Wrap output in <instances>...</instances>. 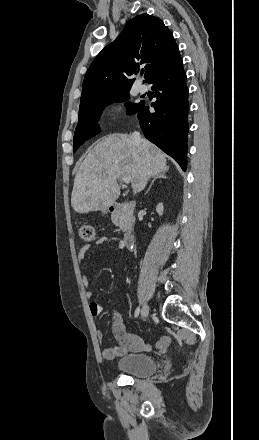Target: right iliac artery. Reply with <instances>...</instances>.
Wrapping results in <instances>:
<instances>
[{"label":"right iliac artery","instance_id":"82829eb1","mask_svg":"<svg viewBox=\"0 0 259 440\" xmlns=\"http://www.w3.org/2000/svg\"><path fill=\"white\" fill-rule=\"evenodd\" d=\"M139 313H140V308L137 307L136 310H135V314H134L135 317H138Z\"/></svg>","mask_w":259,"mask_h":440}]
</instances>
